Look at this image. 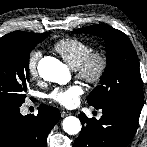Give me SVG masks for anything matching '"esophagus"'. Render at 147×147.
Returning a JSON list of instances; mask_svg holds the SVG:
<instances>
[{"mask_svg":"<svg viewBox=\"0 0 147 147\" xmlns=\"http://www.w3.org/2000/svg\"><path fill=\"white\" fill-rule=\"evenodd\" d=\"M70 114H71V112H69V111H62L61 112V117H65V116H68Z\"/></svg>","mask_w":147,"mask_h":147,"instance_id":"1","label":"esophagus"}]
</instances>
